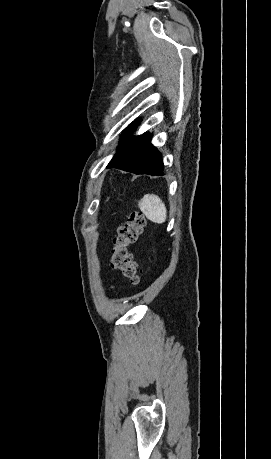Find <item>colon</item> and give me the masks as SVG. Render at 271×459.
I'll use <instances>...</instances> for the list:
<instances>
[{
  "mask_svg": "<svg viewBox=\"0 0 271 459\" xmlns=\"http://www.w3.org/2000/svg\"><path fill=\"white\" fill-rule=\"evenodd\" d=\"M145 228V218L141 212H131L119 228L113 240L111 267L133 284L140 280L141 269L130 248L137 242Z\"/></svg>",
  "mask_w": 271,
  "mask_h": 459,
  "instance_id": "obj_1",
  "label": "colon"
}]
</instances>
